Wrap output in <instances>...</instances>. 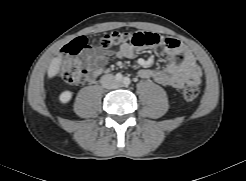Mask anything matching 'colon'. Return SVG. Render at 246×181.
Here are the masks:
<instances>
[{
  "label": "colon",
  "instance_id": "1",
  "mask_svg": "<svg viewBox=\"0 0 246 181\" xmlns=\"http://www.w3.org/2000/svg\"><path fill=\"white\" fill-rule=\"evenodd\" d=\"M167 38L157 33L139 31L129 33L126 31H111L105 34L100 45L104 48L129 43L136 48L153 47L167 44ZM87 47L85 36H79L65 46L62 55L56 63V71L60 78L72 85H82L88 80V71L81 61L79 54ZM200 90L196 84H188L183 89L186 100H194L199 96Z\"/></svg>",
  "mask_w": 246,
  "mask_h": 181
}]
</instances>
